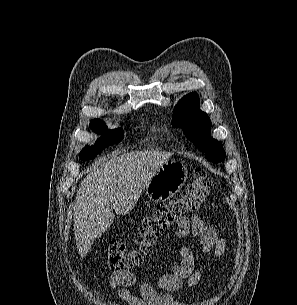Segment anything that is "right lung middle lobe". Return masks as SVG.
Here are the masks:
<instances>
[{
    "label": "right lung middle lobe",
    "instance_id": "dd1d6c3e",
    "mask_svg": "<svg viewBox=\"0 0 297 305\" xmlns=\"http://www.w3.org/2000/svg\"><path fill=\"white\" fill-rule=\"evenodd\" d=\"M90 127L94 132L98 134L103 133V131H106V134L99 138L94 146H87L80 152L79 156L82 160H89L94 158L98 153L102 151L103 148L120 142L124 137L121 128L108 130L105 123L100 119L92 120Z\"/></svg>",
    "mask_w": 297,
    "mask_h": 305
}]
</instances>
